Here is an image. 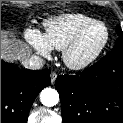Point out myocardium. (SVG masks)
I'll list each match as a JSON object with an SVG mask.
<instances>
[{"mask_svg": "<svg viewBox=\"0 0 123 123\" xmlns=\"http://www.w3.org/2000/svg\"><path fill=\"white\" fill-rule=\"evenodd\" d=\"M95 26H102L105 30V38L101 45L98 47V49L87 59L83 61H74L71 57L73 50L76 48L80 40L83 38V36L93 27ZM110 39V32L108 27L101 21H94L87 26L83 27L81 30H79L75 36L70 40V42L65 46V48L62 50V59L64 64L72 70H82L90 65H92L98 57L102 54L106 46L108 45Z\"/></svg>", "mask_w": 123, "mask_h": 123, "instance_id": "1", "label": "myocardium"}]
</instances>
